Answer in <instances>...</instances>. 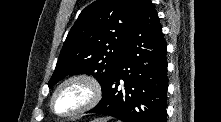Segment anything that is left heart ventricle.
<instances>
[{"label":"left heart ventricle","mask_w":221,"mask_h":122,"mask_svg":"<svg viewBox=\"0 0 221 122\" xmlns=\"http://www.w3.org/2000/svg\"><path fill=\"white\" fill-rule=\"evenodd\" d=\"M87 89L81 84H72L59 92L54 107L60 113L74 111L81 107L87 100Z\"/></svg>","instance_id":"1"}]
</instances>
